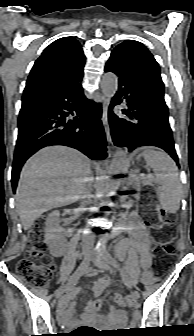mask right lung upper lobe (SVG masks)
Segmentation results:
<instances>
[{
	"mask_svg": "<svg viewBox=\"0 0 194 336\" xmlns=\"http://www.w3.org/2000/svg\"><path fill=\"white\" fill-rule=\"evenodd\" d=\"M85 56L77 40L60 38L36 60L26 82L22 101L54 91L83 73Z\"/></svg>",
	"mask_w": 194,
	"mask_h": 336,
	"instance_id": "1",
	"label": "right lung upper lobe"
}]
</instances>
